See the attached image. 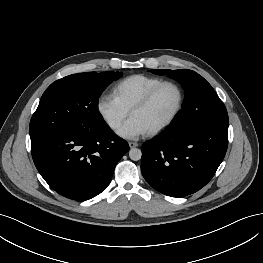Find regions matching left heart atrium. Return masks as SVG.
Returning a JSON list of instances; mask_svg holds the SVG:
<instances>
[{
  "instance_id": "left-heart-atrium-1",
  "label": "left heart atrium",
  "mask_w": 263,
  "mask_h": 263,
  "mask_svg": "<svg viewBox=\"0 0 263 263\" xmlns=\"http://www.w3.org/2000/svg\"><path fill=\"white\" fill-rule=\"evenodd\" d=\"M145 126L135 117H130L117 131L118 135L126 139H136L147 134Z\"/></svg>"
}]
</instances>
